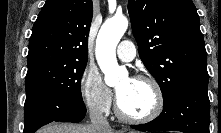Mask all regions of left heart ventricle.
I'll list each match as a JSON object with an SVG mask.
<instances>
[{
  "instance_id": "obj_1",
  "label": "left heart ventricle",
  "mask_w": 221,
  "mask_h": 133,
  "mask_svg": "<svg viewBox=\"0 0 221 133\" xmlns=\"http://www.w3.org/2000/svg\"><path fill=\"white\" fill-rule=\"evenodd\" d=\"M117 92L121 108L128 115H146L154 106V92L147 82L124 78L117 85Z\"/></svg>"
}]
</instances>
